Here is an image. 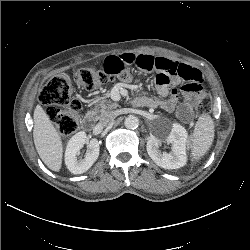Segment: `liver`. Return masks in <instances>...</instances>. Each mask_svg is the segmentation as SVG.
Returning a JSON list of instances; mask_svg holds the SVG:
<instances>
[{
	"mask_svg": "<svg viewBox=\"0 0 250 250\" xmlns=\"http://www.w3.org/2000/svg\"><path fill=\"white\" fill-rule=\"evenodd\" d=\"M33 138L36 150L44 164L52 171L61 169L63 145L60 134L47 113L38 104L34 110Z\"/></svg>",
	"mask_w": 250,
	"mask_h": 250,
	"instance_id": "obj_1",
	"label": "liver"
}]
</instances>
